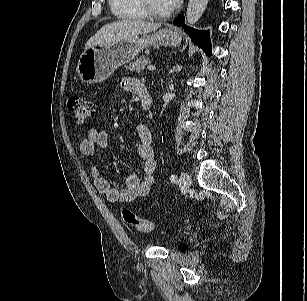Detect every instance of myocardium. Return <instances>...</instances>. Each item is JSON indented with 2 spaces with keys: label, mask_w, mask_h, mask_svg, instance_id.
<instances>
[{
  "label": "myocardium",
  "mask_w": 307,
  "mask_h": 301,
  "mask_svg": "<svg viewBox=\"0 0 307 301\" xmlns=\"http://www.w3.org/2000/svg\"><path fill=\"white\" fill-rule=\"evenodd\" d=\"M142 10L145 14L152 18H166L173 13V10L170 9L167 12H158L152 8L148 0H138Z\"/></svg>",
  "instance_id": "f54148a6"
}]
</instances>
